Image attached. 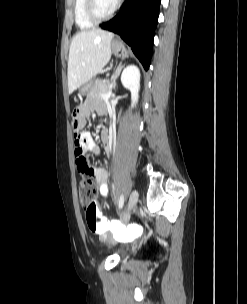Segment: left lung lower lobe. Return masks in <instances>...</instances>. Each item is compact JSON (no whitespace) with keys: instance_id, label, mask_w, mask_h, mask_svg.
Returning a JSON list of instances; mask_svg holds the SVG:
<instances>
[{"instance_id":"1","label":"left lung lower lobe","mask_w":247,"mask_h":304,"mask_svg":"<svg viewBox=\"0 0 247 304\" xmlns=\"http://www.w3.org/2000/svg\"><path fill=\"white\" fill-rule=\"evenodd\" d=\"M161 0H126L123 9L101 28L119 34L132 47L145 70L153 49L154 30Z\"/></svg>"}]
</instances>
